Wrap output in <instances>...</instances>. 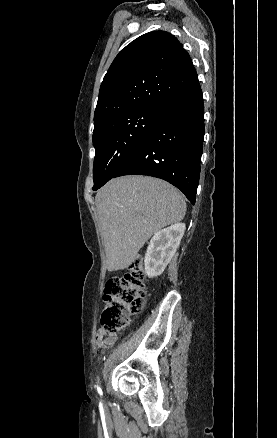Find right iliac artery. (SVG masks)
I'll return each mask as SVG.
<instances>
[{
  "instance_id": "right-iliac-artery-1",
  "label": "right iliac artery",
  "mask_w": 277,
  "mask_h": 438,
  "mask_svg": "<svg viewBox=\"0 0 277 438\" xmlns=\"http://www.w3.org/2000/svg\"><path fill=\"white\" fill-rule=\"evenodd\" d=\"M97 390H98V393H99L100 395H102V390H101V388L98 387Z\"/></svg>"
}]
</instances>
